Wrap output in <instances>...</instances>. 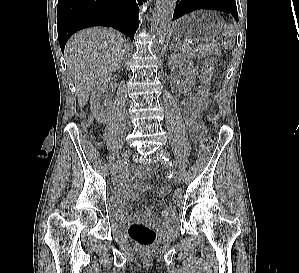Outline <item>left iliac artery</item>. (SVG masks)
<instances>
[{"instance_id": "1", "label": "left iliac artery", "mask_w": 299, "mask_h": 273, "mask_svg": "<svg viewBox=\"0 0 299 273\" xmlns=\"http://www.w3.org/2000/svg\"><path fill=\"white\" fill-rule=\"evenodd\" d=\"M164 160H165V161H167V162H169V163H170V165H172V160H170L169 158H167V157H164Z\"/></svg>"}]
</instances>
